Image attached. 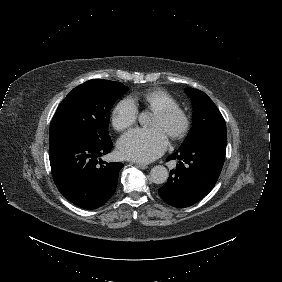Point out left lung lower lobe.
<instances>
[{
    "instance_id": "left-lung-lower-lobe-1",
    "label": "left lung lower lobe",
    "mask_w": 282,
    "mask_h": 282,
    "mask_svg": "<svg viewBox=\"0 0 282 282\" xmlns=\"http://www.w3.org/2000/svg\"><path fill=\"white\" fill-rule=\"evenodd\" d=\"M226 130L205 133L170 155L167 160L179 159L176 170L158 190L168 204L189 207L203 199L215 186L226 153Z\"/></svg>"
}]
</instances>
